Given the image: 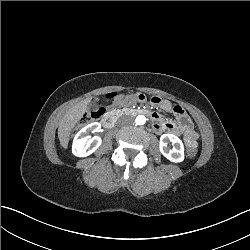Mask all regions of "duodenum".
<instances>
[{
    "mask_svg": "<svg viewBox=\"0 0 250 250\" xmlns=\"http://www.w3.org/2000/svg\"><path fill=\"white\" fill-rule=\"evenodd\" d=\"M128 114L130 116H137V115H144L148 116L149 112L143 108H135L132 110H125V109H117V110H110L102 120V125L105 129H112L116 120L124 115Z\"/></svg>",
    "mask_w": 250,
    "mask_h": 250,
    "instance_id": "410a0bca",
    "label": "duodenum"
}]
</instances>
